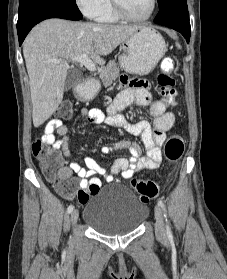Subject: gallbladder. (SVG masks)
<instances>
[{
	"label": "gallbladder",
	"mask_w": 227,
	"mask_h": 279,
	"mask_svg": "<svg viewBox=\"0 0 227 279\" xmlns=\"http://www.w3.org/2000/svg\"><path fill=\"white\" fill-rule=\"evenodd\" d=\"M81 72L79 70H69L65 80V90L71 89L80 79Z\"/></svg>",
	"instance_id": "bac80fb5"
}]
</instances>
